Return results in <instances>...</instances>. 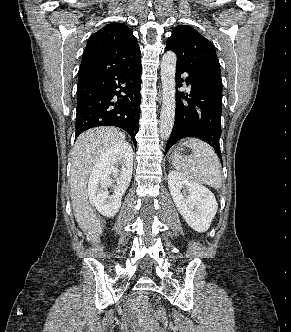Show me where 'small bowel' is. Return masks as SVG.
Masks as SVG:
<instances>
[{"label":"small bowel","mask_w":291,"mask_h":332,"mask_svg":"<svg viewBox=\"0 0 291 332\" xmlns=\"http://www.w3.org/2000/svg\"><path fill=\"white\" fill-rule=\"evenodd\" d=\"M132 312L138 322L142 323L145 326H154L158 320L163 318V314L158 312L154 315L151 314H142L138 311V304H134L132 307ZM132 323H130L131 325Z\"/></svg>","instance_id":"c3829d8e"}]
</instances>
